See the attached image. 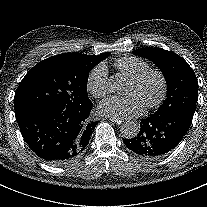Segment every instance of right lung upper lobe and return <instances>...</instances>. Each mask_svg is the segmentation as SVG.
<instances>
[{"label": "right lung upper lobe", "mask_w": 207, "mask_h": 207, "mask_svg": "<svg viewBox=\"0 0 207 207\" xmlns=\"http://www.w3.org/2000/svg\"><path fill=\"white\" fill-rule=\"evenodd\" d=\"M109 55L110 53H103L97 56L85 55V54H80V53H68V54H62L59 56L71 58L75 60L76 62H78L79 64L93 68L98 63H100L102 60L106 59Z\"/></svg>", "instance_id": "1"}]
</instances>
